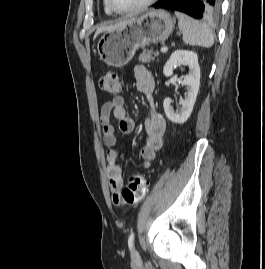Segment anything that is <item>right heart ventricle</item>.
Returning <instances> with one entry per match:
<instances>
[{
    "label": "right heart ventricle",
    "mask_w": 265,
    "mask_h": 269,
    "mask_svg": "<svg viewBox=\"0 0 265 269\" xmlns=\"http://www.w3.org/2000/svg\"><path fill=\"white\" fill-rule=\"evenodd\" d=\"M103 7H104V11L106 14L110 15L112 14L113 12L109 9L107 3H106V0H103Z\"/></svg>",
    "instance_id": "1"
}]
</instances>
